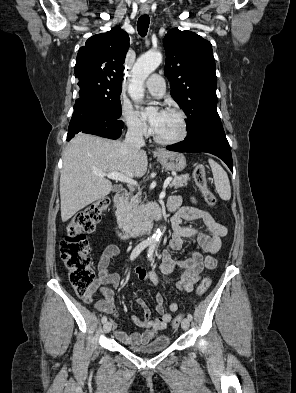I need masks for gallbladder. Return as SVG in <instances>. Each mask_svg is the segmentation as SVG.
I'll return each mask as SVG.
<instances>
[{
  "label": "gallbladder",
  "instance_id": "1",
  "mask_svg": "<svg viewBox=\"0 0 296 393\" xmlns=\"http://www.w3.org/2000/svg\"><path fill=\"white\" fill-rule=\"evenodd\" d=\"M114 191H116L117 190V188L116 187H114V189H113Z\"/></svg>",
  "mask_w": 296,
  "mask_h": 393
}]
</instances>
